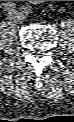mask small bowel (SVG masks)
<instances>
[{
    "instance_id": "small-bowel-1",
    "label": "small bowel",
    "mask_w": 74,
    "mask_h": 122,
    "mask_svg": "<svg viewBox=\"0 0 74 122\" xmlns=\"http://www.w3.org/2000/svg\"><path fill=\"white\" fill-rule=\"evenodd\" d=\"M33 3H41V2H44V1H32Z\"/></svg>"
}]
</instances>
